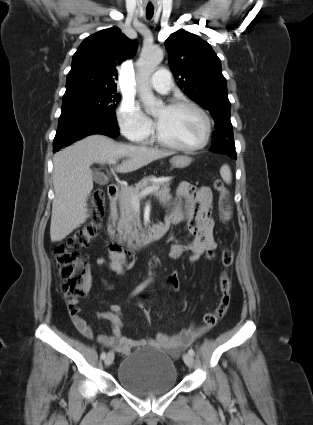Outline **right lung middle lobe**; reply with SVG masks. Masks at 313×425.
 Instances as JSON below:
<instances>
[{
  "label": "right lung middle lobe",
  "mask_w": 313,
  "mask_h": 425,
  "mask_svg": "<svg viewBox=\"0 0 313 425\" xmlns=\"http://www.w3.org/2000/svg\"><path fill=\"white\" fill-rule=\"evenodd\" d=\"M119 101L116 89L78 90L65 93L62 106H81L115 115L114 110Z\"/></svg>",
  "instance_id": "dd1d6c3e"
}]
</instances>
